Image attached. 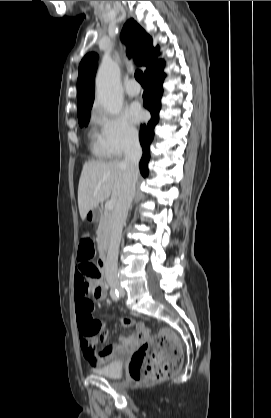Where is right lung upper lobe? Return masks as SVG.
<instances>
[{"label": "right lung upper lobe", "mask_w": 271, "mask_h": 418, "mask_svg": "<svg viewBox=\"0 0 271 418\" xmlns=\"http://www.w3.org/2000/svg\"><path fill=\"white\" fill-rule=\"evenodd\" d=\"M122 33L134 47L136 63L140 66H146L145 75L164 64L163 60H158L157 51L159 47L153 48L152 38L133 19L126 22ZM97 59V54L89 53L79 65L77 80L78 116L89 113L91 110L94 101V78Z\"/></svg>", "instance_id": "1"}]
</instances>
